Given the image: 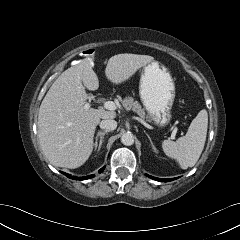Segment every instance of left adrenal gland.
<instances>
[{
  "label": "left adrenal gland",
  "mask_w": 240,
  "mask_h": 240,
  "mask_svg": "<svg viewBox=\"0 0 240 240\" xmlns=\"http://www.w3.org/2000/svg\"><path fill=\"white\" fill-rule=\"evenodd\" d=\"M144 133H145V134H146V136L148 137V139H149V141H150V143H151V146H152L153 150H155V151H156V148H155V146H154V144H153V141H152V139H151L150 135H149L148 133H146L145 131H144Z\"/></svg>",
  "instance_id": "left-adrenal-gland-1"
}]
</instances>
